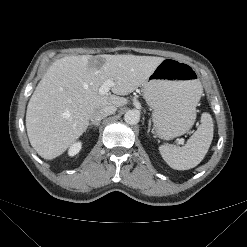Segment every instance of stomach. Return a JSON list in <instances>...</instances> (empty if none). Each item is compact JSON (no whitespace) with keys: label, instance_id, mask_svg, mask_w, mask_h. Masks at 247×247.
Listing matches in <instances>:
<instances>
[{"label":"stomach","instance_id":"stomach-1","mask_svg":"<svg viewBox=\"0 0 247 247\" xmlns=\"http://www.w3.org/2000/svg\"><path fill=\"white\" fill-rule=\"evenodd\" d=\"M193 67L176 59H164L144 83V98L153 109L158 137L169 140L185 134L196 119L202 86Z\"/></svg>","mask_w":247,"mask_h":247}]
</instances>
